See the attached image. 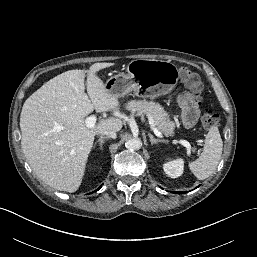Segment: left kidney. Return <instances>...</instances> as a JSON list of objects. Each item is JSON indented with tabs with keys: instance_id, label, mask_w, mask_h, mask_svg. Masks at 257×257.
I'll list each match as a JSON object with an SVG mask.
<instances>
[{
	"instance_id": "5707ae66",
	"label": "left kidney",
	"mask_w": 257,
	"mask_h": 257,
	"mask_svg": "<svg viewBox=\"0 0 257 257\" xmlns=\"http://www.w3.org/2000/svg\"><path fill=\"white\" fill-rule=\"evenodd\" d=\"M163 170L169 177L177 178L183 173L184 161L182 159L169 161L163 165Z\"/></svg>"
}]
</instances>
